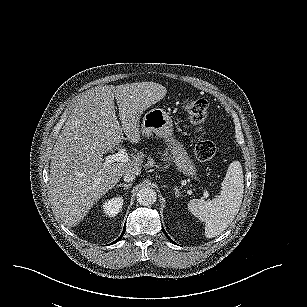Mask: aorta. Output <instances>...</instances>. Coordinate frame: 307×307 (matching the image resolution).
<instances>
[{"instance_id": "aorta-1", "label": "aorta", "mask_w": 307, "mask_h": 307, "mask_svg": "<svg viewBox=\"0 0 307 307\" xmlns=\"http://www.w3.org/2000/svg\"><path fill=\"white\" fill-rule=\"evenodd\" d=\"M136 198L140 205L150 206L156 202L157 194L154 189L150 187H144L138 191Z\"/></svg>"}]
</instances>
